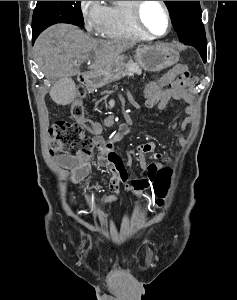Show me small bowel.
<instances>
[{"label":"small bowel","mask_w":237,"mask_h":300,"mask_svg":"<svg viewBox=\"0 0 237 300\" xmlns=\"http://www.w3.org/2000/svg\"><path fill=\"white\" fill-rule=\"evenodd\" d=\"M176 74L170 72L163 76L161 79L152 82L147 85L143 91V97L146 98L151 94L157 92L159 89L166 85H169L175 81ZM188 87V86H186ZM186 87H177L168 89L161 100L158 102L157 107L159 111H164L171 99H177L185 104L189 105L191 102V97L186 89ZM79 124H81L88 132L94 135H98L102 132L103 128L110 124L111 118H107L102 122H94L86 118L76 119ZM190 122L189 118H186L183 126H186ZM169 127L174 129L176 127L175 122H171ZM155 149V144L153 142L143 143L137 146V153L139 156V163L141 167L148 172V176L142 180H135L131 183H127L128 174L125 169L124 163L120 155L114 150L113 147L99 148L97 149V159L98 164L102 167L107 168L112 174V178L109 184L111 194L104 199V205H109L115 202L120 193L121 184L127 191H132L138 194L142 189L150 186L149 177L151 174L155 173L157 170L161 169V165L158 163H147L146 155L152 153ZM153 159L160 157L159 154H153L151 156ZM58 163L65 169L70 171L69 182L71 184H76L83 180L90 169L89 163L79 162L74 157L69 155H60L58 157ZM70 200L73 202L74 196L73 192H70Z\"/></svg>","instance_id":"c3829d8e"}]
</instances>
